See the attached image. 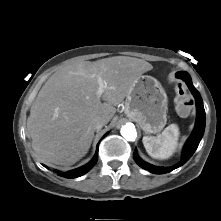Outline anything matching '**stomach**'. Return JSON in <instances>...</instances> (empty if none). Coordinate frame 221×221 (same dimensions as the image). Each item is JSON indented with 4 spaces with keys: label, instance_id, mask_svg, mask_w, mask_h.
Returning <instances> with one entry per match:
<instances>
[{
    "label": "stomach",
    "instance_id": "0dacf381",
    "mask_svg": "<svg viewBox=\"0 0 221 221\" xmlns=\"http://www.w3.org/2000/svg\"><path fill=\"white\" fill-rule=\"evenodd\" d=\"M167 104L160 82L152 76L141 75L126 97L125 114L146 134H155L167 123Z\"/></svg>",
    "mask_w": 221,
    "mask_h": 221
}]
</instances>
